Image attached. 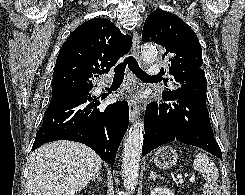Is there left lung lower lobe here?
<instances>
[{
  "label": "left lung lower lobe",
  "mask_w": 245,
  "mask_h": 195,
  "mask_svg": "<svg viewBox=\"0 0 245 195\" xmlns=\"http://www.w3.org/2000/svg\"><path fill=\"white\" fill-rule=\"evenodd\" d=\"M165 103H150L145 112L142 155L160 145L177 140L200 147L222 160L210 124L206 101L194 96L176 99L164 97Z\"/></svg>",
  "instance_id": "1"
}]
</instances>
